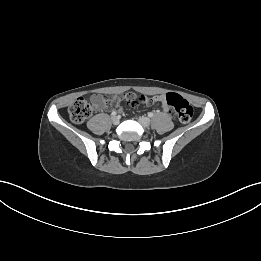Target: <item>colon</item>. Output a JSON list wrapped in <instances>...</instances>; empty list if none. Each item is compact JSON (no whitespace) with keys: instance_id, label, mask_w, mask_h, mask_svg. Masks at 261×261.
Instances as JSON below:
<instances>
[{"instance_id":"colon-1","label":"colon","mask_w":261,"mask_h":261,"mask_svg":"<svg viewBox=\"0 0 261 261\" xmlns=\"http://www.w3.org/2000/svg\"><path fill=\"white\" fill-rule=\"evenodd\" d=\"M165 101L181 123H188L192 119L193 107L181 95L168 93ZM68 112L73 122L82 123L91 115L92 106L86 99L78 98L69 106Z\"/></svg>"}]
</instances>
